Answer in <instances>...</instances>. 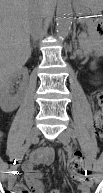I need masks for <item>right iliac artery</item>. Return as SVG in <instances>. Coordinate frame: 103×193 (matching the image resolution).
Wrapping results in <instances>:
<instances>
[{
  "instance_id": "1",
  "label": "right iliac artery",
  "mask_w": 103,
  "mask_h": 193,
  "mask_svg": "<svg viewBox=\"0 0 103 193\" xmlns=\"http://www.w3.org/2000/svg\"><path fill=\"white\" fill-rule=\"evenodd\" d=\"M30 146H31V143H26V144L23 146L22 150L20 151V153L18 154L17 158L15 159L14 165H15L16 163L19 164V163L22 161V159H23V157H24V154L28 152Z\"/></svg>"
}]
</instances>
